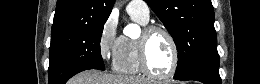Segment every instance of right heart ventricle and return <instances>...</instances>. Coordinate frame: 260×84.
I'll return each mask as SVG.
<instances>
[{
    "instance_id": "e07e8e85",
    "label": "right heart ventricle",
    "mask_w": 260,
    "mask_h": 84,
    "mask_svg": "<svg viewBox=\"0 0 260 84\" xmlns=\"http://www.w3.org/2000/svg\"><path fill=\"white\" fill-rule=\"evenodd\" d=\"M131 16L136 22L140 24L146 23L137 16ZM113 68L114 71L121 74L137 75L142 73L139 65L135 39L124 35L120 37L119 53L115 62L113 63Z\"/></svg>"
}]
</instances>
